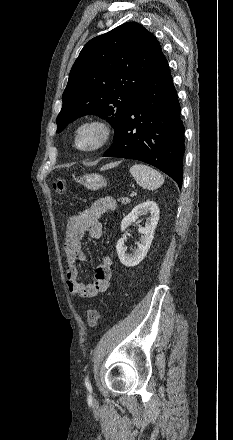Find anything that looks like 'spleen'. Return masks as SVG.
Segmentation results:
<instances>
[{"mask_svg":"<svg viewBox=\"0 0 233 440\" xmlns=\"http://www.w3.org/2000/svg\"><path fill=\"white\" fill-rule=\"evenodd\" d=\"M130 173L139 186L149 190L157 189L164 183L161 173L145 164H134L130 168Z\"/></svg>","mask_w":233,"mask_h":440,"instance_id":"3e777b00","label":"spleen"}]
</instances>
